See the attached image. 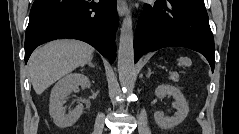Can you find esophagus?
I'll use <instances>...</instances> for the list:
<instances>
[{
  "instance_id": "esophagus-1",
  "label": "esophagus",
  "mask_w": 239,
  "mask_h": 134,
  "mask_svg": "<svg viewBox=\"0 0 239 134\" xmlns=\"http://www.w3.org/2000/svg\"><path fill=\"white\" fill-rule=\"evenodd\" d=\"M117 11L120 17H123L127 12V3L125 0H117Z\"/></svg>"
}]
</instances>
